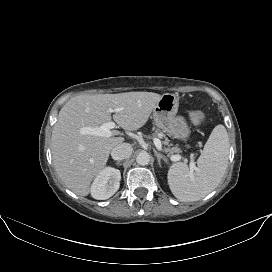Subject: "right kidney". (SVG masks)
Segmentation results:
<instances>
[{
  "instance_id": "ca27d5eb",
  "label": "right kidney",
  "mask_w": 272,
  "mask_h": 272,
  "mask_svg": "<svg viewBox=\"0 0 272 272\" xmlns=\"http://www.w3.org/2000/svg\"><path fill=\"white\" fill-rule=\"evenodd\" d=\"M121 173L118 169L104 168L91 185V196L97 200H106L113 196L120 187Z\"/></svg>"
}]
</instances>
